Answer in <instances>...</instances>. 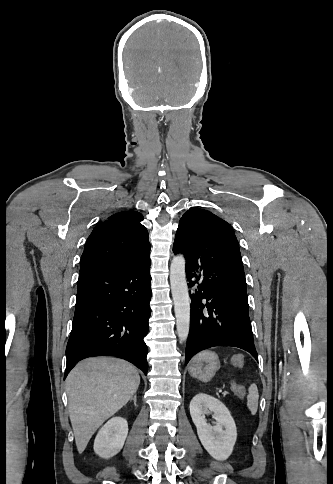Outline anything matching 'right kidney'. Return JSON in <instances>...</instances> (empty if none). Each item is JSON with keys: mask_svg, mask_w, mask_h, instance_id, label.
Wrapping results in <instances>:
<instances>
[{"mask_svg": "<svg viewBox=\"0 0 333 484\" xmlns=\"http://www.w3.org/2000/svg\"><path fill=\"white\" fill-rule=\"evenodd\" d=\"M128 434V423L122 417L110 419L98 432L94 441V451L101 458L116 455L123 447Z\"/></svg>", "mask_w": 333, "mask_h": 484, "instance_id": "obj_1", "label": "right kidney"}]
</instances>
